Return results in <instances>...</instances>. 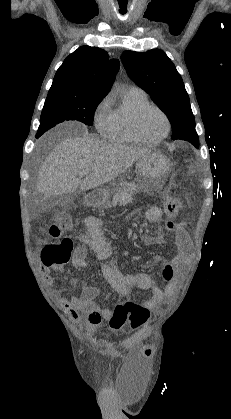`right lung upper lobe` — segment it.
Returning a JSON list of instances; mask_svg holds the SVG:
<instances>
[{"mask_svg":"<svg viewBox=\"0 0 231 419\" xmlns=\"http://www.w3.org/2000/svg\"><path fill=\"white\" fill-rule=\"evenodd\" d=\"M117 59H109L100 48L81 46L58 68L50 90H68L76 96L105 97L119 70Z\"/></svg>","mask_w":231,"mask_h":419,"instance_id":"right-lung-upper-lobe-1","label":"right lung upper lobe"}]
</instances>
